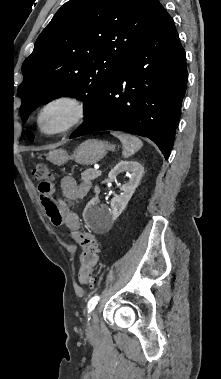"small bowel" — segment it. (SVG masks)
I'll list each match as a JSON object with an SVG mask.
<instances>
[{
	"label": "small bowel",
	"instance_id": "c3829d8e",
	"mask_svg": "<svg viewBox=\"0 0 221 379\" xmlns=\"http://www.w3.org/2000/svg\"><path fill=\"white\" fill-rule=\"evenodd\" d=\"M60 186L66 199L80 200L88 194L91 184L89 181L79 183L74 177L65 176L61 179ZM52 193L53 188L45 195L40 193L48 218L55 226L65 225L71 231H78L81 227L78 215L69 208L66 202H59L53 198Z\"/></svg>",
	"mask_w": 221,
	"mask_h": 379
}]
</instances>
